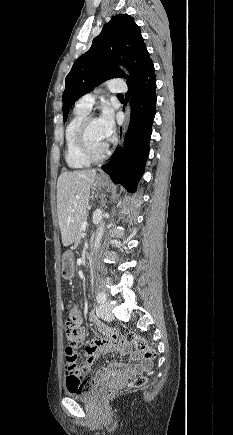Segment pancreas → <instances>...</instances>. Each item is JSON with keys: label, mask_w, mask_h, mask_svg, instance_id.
<instances>
[{"label": "pancreas", "mask_w": 233, "mask_h": 435, "mask_svg": "<svg viewBox=\"0 0 233 435\" xmlns=\"http://www.w3.org/2000/svg\"><path fill=\"white\" fill-rule=\"evenodd\" d=\"M86 219H87V215L85 214L83 217H82V219H81V221H80V225H79V231H78V234L80 233V227H81V224L83 223V222H85L86 221Z\"/></svg>", "instance_id": "1"}]
</instances>
